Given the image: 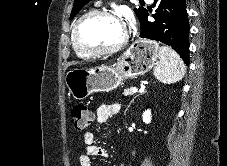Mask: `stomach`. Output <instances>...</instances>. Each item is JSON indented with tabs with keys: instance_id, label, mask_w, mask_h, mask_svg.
<instances>
[{
	"instance_id": "stomach-1",
	"label": "stomach",
	"mask_w": 227,
	"mask_h": 166,
	"mask_svg": "<svg viewBox=\"0 0 227 166\" xmlns=\"http://www.w3.org/2000/svg\"><path fill=\"white\" fill-rule=\"evenodd\" d=\"M159 49V44L154 41L138 40L114 66L70 69L65 75V84L77 100H83L92 93L112 91L124 79L136 78L151 70L159 57Z\"/></svg>"
}]
</instances>
